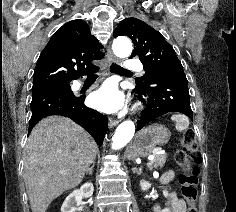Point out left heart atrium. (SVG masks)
Returning a JSON list of instances; mask_svg holds the SVG:
<instances>
[{"instance_id":"left-heart-atrium-1","label":"left heart atrium","mask_w":236,"mask_h":212,"mask_svg":"<svg viewBox=\"0 0 236 212\" xmlns=\"http://www.w3.org/2000/svg\"><path fill=\"white\" fill-rule=\"evenodd\" d=\"M124 101V95L112 82L103 84L90 96L91 105L105 113L119 111L124 106Z\"/></svg>"}]
</instances>
